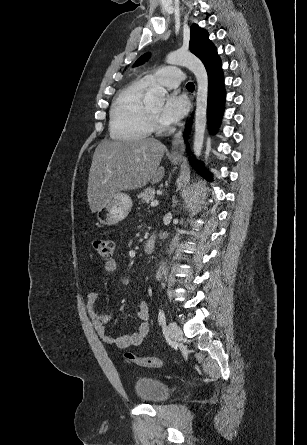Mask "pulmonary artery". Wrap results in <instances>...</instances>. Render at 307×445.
<instances>
[{
    "label": "pulmonary artery",
    "instance_id": "1",
    "mask_svg": "<svg viewBox=\"0 0 307 445\" xmlns=\"http://www.w3.org/2000/svg\"><path fill=\"white\" fill-rule=\"evenodd\" d=\"M146 81L149 83L160 82L169 87H177L189 81L183 69L178 67H166L147 74Z\"/></svg>",
    "mask_w": 307,
    "mask_h": 445
}]
</instances>
